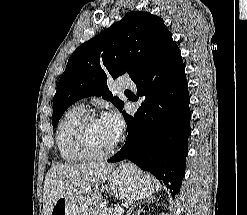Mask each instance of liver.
Listing matches in <instances>:
<instances>
[{"mask_svg": "<svg viewBox=\"0 0 247 215\" xmlns=\"http://www.w3.org/2000/svg\"><path fill=\"white\" fill-rule=\"evenodd\" d=\"M113 166L104 162L53 164L44 181V215H50L55 202L62 196H82L98 189Z\"/></svg>", "mask_w": 247, "mask_h": 215, "instance_id": "liver-1", "label": "liver"}]
</instances>
